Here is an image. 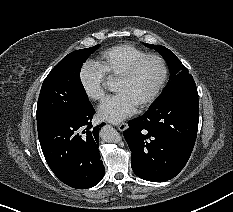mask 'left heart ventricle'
Instances as JSON below:
<instances>
[{"label":"left heart ventricle","mask_w":233,"mask_h":212,"mask_svg":"<svg viewBox=\"0 0 233 212\" xmlns=\"http://www.w3.org/2000/svg\"><path fill=\"white\" fill-rule=\"evenodd\" d=\"M161 75L160 63L155 59H149L140 66L130 80H118L116 92L127 94L135 105L139 106L153 92Z\"/></svg>","instance_id":"1"}]
</instances>
